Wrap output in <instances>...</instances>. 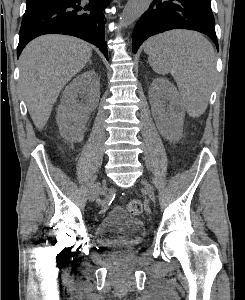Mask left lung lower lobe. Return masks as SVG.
<instances>
[{"label": "left lung lower lobe", "instance_id": "1", "mask_svg": "<svg viewBox=\"0 0 245 300\" xmlns=\"http://www.w3.org/2000/svg\"><path fill=\"white\" fill-rule=\"evenodd\" d=\"M171 29H189L206 34L216 45L215 21L210 0H153L133 31V52L150 36Z\"/></svg>", "mask_w": 245, "mask_h": 300}]
</instances>
